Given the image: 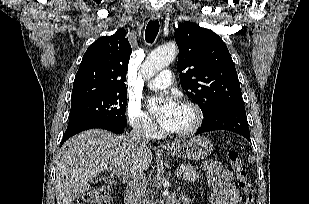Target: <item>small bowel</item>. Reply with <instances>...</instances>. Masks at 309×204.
I'll return each instance as SVG.
<instances>
[{
	"instance_id": "small-bowel-1",
	"label": "small bowel",
	"mask_w": 309,
	"mask_h": 204,
	"mask_svg": "<svg viewBox=\"0 0 309 204\" xmlns=\"http://www.w3.org/2000/svg\"><path fill=\"white\" fill-rule=\"evenodd\" d=\"M204 170L213 190L212 204H237L241 200L238 189L233 183V174L223 169L216 161H207Z\"/></svg>"
}]
</instances>
